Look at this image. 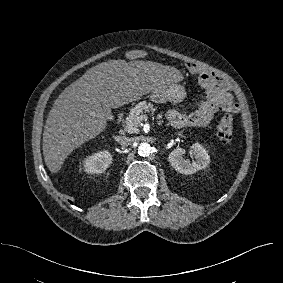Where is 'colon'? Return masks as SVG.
Here are the masks:
<instances>
[{
	"mask_svg": "<svg viewBox=\"0 0 283 283\" xmlns=\"http://www.w3.org/2000/svg\"><path fill=\"white\" fill-rule=\"evenodd\" d=\"M132 56L138 58L141 56V52H133ZM233 116L228 109H223L221 112V118L217 126V136L220 141L233 148L235 146V139L232 132Z\"/></svg>",
	"mask_w": 283,
	"mask_h": 283,
	"instance_id": "obj_1",
	"label": "colon"
}]
</instances>
